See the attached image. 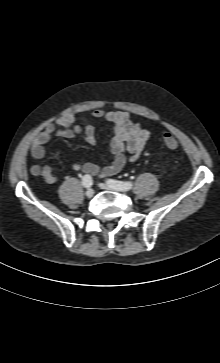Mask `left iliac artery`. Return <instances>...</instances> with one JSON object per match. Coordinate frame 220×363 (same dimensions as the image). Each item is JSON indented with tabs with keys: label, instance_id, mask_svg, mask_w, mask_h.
I'll list each match as a JSON object with an SVG mask.
<instances>
[{
	"label": "left iliac artery",
	"instance_id": "left-iliac-artery-1",
	"mask_svg": "<svg viewBox=\"0 0 220 363\" xmlns=\"http://www.w3.org/2000/svg\"><path fill=\"white\" fill-rule=\"evenodd\" d=\"M107 183L110 184L113 187H116L122 191H128L132 188L133 182L130 181H117L114 179H108Z\"/></svg>",
	"mask_w": 220,
	"mask_h": 363
}]
</instances>
